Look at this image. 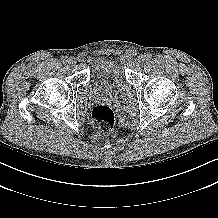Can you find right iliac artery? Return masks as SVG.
Here are the masks:
<instances>
[{
    "mask_svg": "<svg viewBox=\"0 0 218 218\" xmlns=\"http://www.w3.org/2000/svg\"><path fill=\"white\" fill-rule=\"evenodd\" d=\"M67 61H68V57H67V56H65V57L62 58V62H63V63H66Z\"/></svg>",
    "mask_w": 218,
    "mask_h": 218,
    "instance_id": "right-iliac-artery-1",
    "label": "right iliac artery"
}]
</instances>
